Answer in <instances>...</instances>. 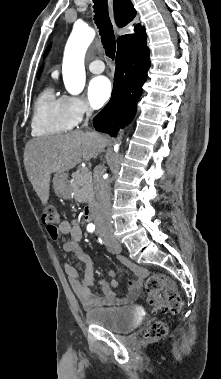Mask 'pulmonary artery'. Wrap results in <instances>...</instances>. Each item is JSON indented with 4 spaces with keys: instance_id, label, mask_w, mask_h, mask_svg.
<instances>
[{
    "instance_id": "1",
    "label": "pulmonary artery",
    "mask_w": 221,
    "mask_h": 379,
    "mask_svg": "<svg viewBox=\"0 0 221 379\" xmlns=\"http://www.w3.org/2000/svg\"><path fill=\"white\" fill-rule=\"evenodd\" d=\"M92 73L98 74L104 71V63L101 60H93L88 65Z\"/></svg>"
}]
</instances>
